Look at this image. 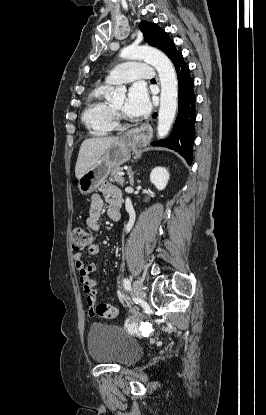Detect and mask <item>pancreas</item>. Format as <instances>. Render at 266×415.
<instances>
[{"label": "pancreas", "instance_id": "pancreas-1", "mask_svg": "<svg viewBox=\"0 0 266 415\" xmlns=\"http://www.w3.org/2000/svg\"><path fill=\"white\" fill-rule=\"evenodd\" d=\"M122 172V168L121 167H116L112 170L111 172V176L109 178L110 182L112 183H117L120 186H124L125 184V180L123 176H120L119 173Z\"/></svg>", "mask_w": 266, "mask_h": 415}]
</instances>
